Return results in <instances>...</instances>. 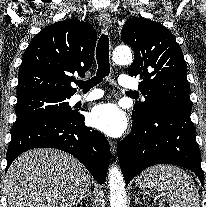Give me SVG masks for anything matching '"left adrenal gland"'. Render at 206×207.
Wrapping results in <instances>:
<instances>
[{"mask_svg": "<svg viewBox=\"0 0 206 207\" xmlns=\"http://www.w3.org/2000/svg\"><path fill=\"white\" fill-rule=\"evenodd\" d=\"M138 204V197H135V205Z\"/></svg>", "mask_w": 206, "mask_h": 207, "instance_id": "left-adrenal-gland-1", "label": "left adrenal gland"}]
</instances>
